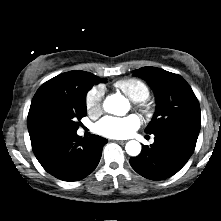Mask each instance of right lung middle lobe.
Here are the masks:
<instances>
[{"instance_id": "right-lung-middle-lobe-1", "label": "right lung middle lobe", "mask_w": 221, "mask_h": 221, "mask_svg": "<svg viewBox=\"0 0 221 221\" xmlns=\"http://www.w3.org/2000/svg\"><path fill=\"white\" fill-rule=\"evenodd\" d=\"M105 81L91 79L85 72H80L67 87L42 85L33 98L35 119L55 134L76 132L80 119L86 116L88 90Z\"/></svg>"}]
</instances>
